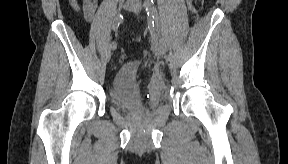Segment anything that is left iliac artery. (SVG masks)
Listing matches in <instances>:
<instances>
[{"label":"left iliac artery","mask_w":288,"mask_h":164,"mask_svg":"<svg viewBox=\"0 0 288 164\" xmlns=\"http://www.w3.org/2000/svg\"><path fill=\"white\" fill-rule=\"evenodd\" d=\"M144 8L148 14V17L152 18L153 27L155 26L157 29H159V15L156 7L154 6L153 0H145Z\"/></svg>","instance_id":"left-iliac-artery-1"}]
</instances>
